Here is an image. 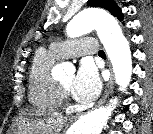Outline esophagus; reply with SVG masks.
I'll return each instance as SVG.
<instances>
[{
	"label": "esophagus",
	"mask_w": 153,
	"mask_h": 134,
	"mask_svg": "<svg viewBox=\"0 0 153 134\" xmlns=\"http://www.w3.org/2000/svg\"><path fill=\"white\" fill-rule=\"evenodd\" d=\"M113 84H114V81H113V74L111 72V76H110V79L106 85V88H105V91L103 93V96L101 97V99L98 101L97 103V106H100L102 105L106 98L108 97V95L111 93L112 89H113ZM77 116H74V119L76 118Z\"/></svg>",
	"instance_id": "esophagus-1"
}]
</instances>
